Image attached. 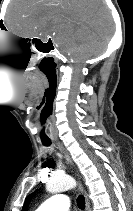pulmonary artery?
Instances as JSON below:
<instances>
[{
    "label": "pulmonary artery",
    "instance_id": "pulmonary-artery-1",
    "mask_svg": "<svg viewBox=\"0 0 133 211\" xmlns=\"http://www.w3.org/2000/svg\"><path fill=\"white\" fill-rule=\"evenodd\" d=\"M69 197L65 194H56L44 201L35 211H68Z\"/></svg>",
    "mask_w": 133,
    "mask_h": 211
}]
</instances>
